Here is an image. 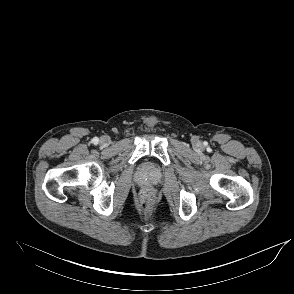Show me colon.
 I'll list each match as a JSON object with an SVG mask.
<instances>
[{
    "mask_svg": "<svg viewBox=\"0 0 294 294\" xmlns=\"http://www.w3.org/2000/svg\"><path fill=\"white\" fill-rule=\"evenodd\" d=\"M153 200V192L151 189H146L141 194V207L144 210L149 209Z\"/></svg>",
    "mask_w": 294,
    "mask_h": 294,
    "instance_id": "obj_1",
    "label": "colon"
}]
</instances>
